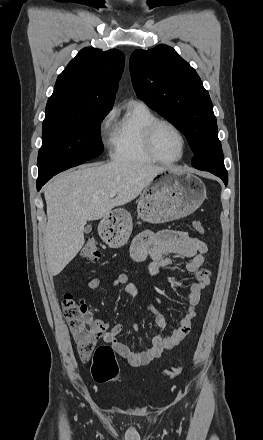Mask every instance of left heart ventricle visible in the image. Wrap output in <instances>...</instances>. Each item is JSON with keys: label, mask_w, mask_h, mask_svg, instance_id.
Masks as SVG:
<instances>
[{"label": "left heart ventricle", "mask_w": 263, "mask_h": 440, "mask_svg": "<svg viewBox=\"0 0 263 440\" xmlns=\"http://www.w3.org/2000/svg\"><path fill=\"white\" fill-rule=\"evenodd\" d=\"M156 154L165 160H173L180 156L182 142L179 135L169 126L161 125L154 135Z\"/></svg>", "instance_id": "left-heart-ventricle-1"}]
</instances>
